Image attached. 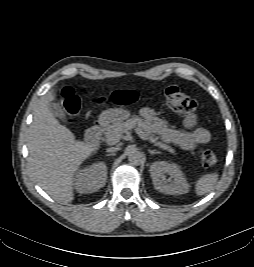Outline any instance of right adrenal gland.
Returning <instances> with one entry per match:
<instances>
[{"instance_id":"2a0ac1e0","label":"right adrenal gland","mask_w":254,"mask_h":267,"mask_svg":"<svg viewBox=\"0 0 254 267\" xmlns=\"http://www.w3.org/2000/svg\"><path fill=\"white\" fill-rule=\"evenodd\" d=\"M115 153H110V154H107L106 156H114Z\"/></svg>"}]
</instances>
